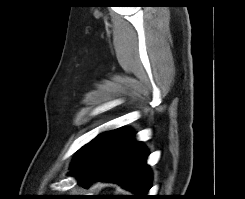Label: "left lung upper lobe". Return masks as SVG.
Wrapping results in <instances>:
<instances>
[{"label": "left lung upper lobe", "instance_id": "1", "mask_svg": "<svg viewBox=\"0 0 245 199\" xmlns=\"http://www.w3.org/2000/svg\"><path fill=\"white\" fill-rule=\"evenodd\" d=\"M86 146V145H85ZM85 146H83L79 151L78 153L76 154L75 158H74V161L79 157V155L82 153V151L84 150ZM74 163V162H73ZM72 163V164H73Z\"/></svg>", "mask_w": 245, "mask_h": 199}]
</instances>
